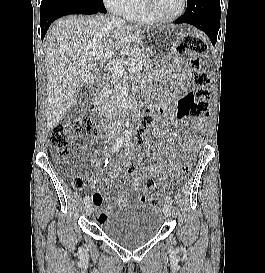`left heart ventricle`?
I'll list each match as a JSON object with an SVG mask.
<instances>
[{
    "label": "left heart ventricle",
    "mask_w": 265,
    "mask_h": 273,
    "mask_svg": "<svg viewBox=\"0 0 265 273\" xmlns=\"http://www.w3.org/2000/svg\"><path fill=\"white\" fill-rule=\"evenodd\" d=\"M182 0H150L152 11L161 17H170L178 13Z\"/></svg>",
    "instance_id": "1"
}]
</instances>
